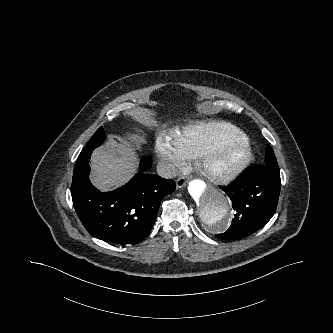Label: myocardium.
<instances>
[{"instance_id": "obj_1", "label": "myocardium", "mask_w": 333, "mask_h": 333, "mask_svg": "<svg viewBox=\"0 0 333 333\" xmlns=\"http://www.w3.org/2000/svg\"><path fill=\"white\" fill-rule=\"evenodd\" d=\"M232 145L240 146V155L237 160L227 168H214L216 155ZM197 159L200 169L207 178L215 183L225 184L237 178L248 167L253 159V149L248 138H220L205 148Z\"/></svg>"}]
</instances>
